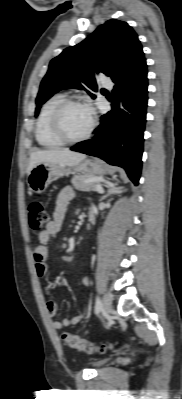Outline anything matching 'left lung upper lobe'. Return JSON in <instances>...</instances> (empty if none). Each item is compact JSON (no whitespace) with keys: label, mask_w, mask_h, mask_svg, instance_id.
<instances>
[{"label":"left lung upper lobe","mask_w":182,"mask_h":399,"mask_svg":"<svg viewBox=\"0 0 182 399\" xmlns=\"http://www.w3.org/2000/svg\"><path fill=\"white\" fill-rule=\"evenodd\" d=\"M143 62L144 53L135 31L126 22L111 19L51 60L36 98L35 116L41 105L60 90L87 88L97 92L98 73L111 77L116 84ZM91 92L88 94L94 99Z\"/></svg>","instance_id":"5c2ea615"}]
</instances>
